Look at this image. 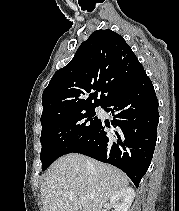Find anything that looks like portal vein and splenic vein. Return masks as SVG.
<instances>
[{
    "label": "portal vein and splenic vein",
    "mask_w": 179,
    "mask_h": 211,
    "mask_svg": "<svg viewBox=\"0 0 179 211\" xmlns=\"http://www.w3.org/2000/svg\"><path fill=\"white\" fill-rule=\"evenodd\" d=\"M80 203L82 204V205H84L85 203H86V200H87V198H86V196H80Z\"/></svg>",
    "instance_id": "obj_1"
}]
</instances>
